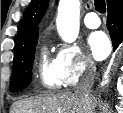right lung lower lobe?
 <instances>
[{"mask_svg":"<svg viewBox=\"0 0 123 113\" xmlns=\"http://www.w3.org/2000/svg\"><path fill=\"white\" fill-rule=\"evenodd\" d=\"M107 5V28L115 50L123 42V0H109Z\"/></svg>","mask_w":123,"mask_h":113,"instance_id":"right-lung-lower-lobe-1","label":"right lung lower lobe"}]
</instances>
